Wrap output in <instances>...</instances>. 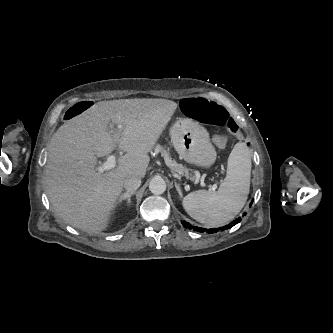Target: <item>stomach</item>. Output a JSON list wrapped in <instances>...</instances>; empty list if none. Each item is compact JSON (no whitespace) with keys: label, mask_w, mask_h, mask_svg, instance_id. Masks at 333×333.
Returning <instances> with one entry per match:
<instances>
[{"label":"stomach","mask_w":333,"mask_h":333,"mask_svg":"<svg viewBox=\"0 0 333 333\" xmlns=\"http://www.w3.org/2000/svg\"><path fill=\"white\" fill-rule=\"evenodd\" d=\"M172 143L180 157L188 163L210 168L217 153L208 131L191 118H180L170 129Z\"/></svg>","instance_id":"obj_1"}]
</instances>
